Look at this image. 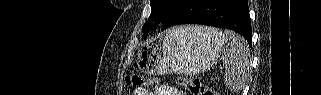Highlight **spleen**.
<instances>
[{
	"instance_id": "1",
	"label": "spleen",
	"mask_w": 321,
	"mask_h": 95,
	"mask_svg": "<svg viewBox=\"0 0 321 95\" xmlns=\"http://www.w3.org/2000/svg\"><path fill=\"white\" fill-rule=\"evenodd\" d=\"M204 32L215 33L214 28L201 27ZM224 36V35H223ZM226 41L221 59L225 64L224 81L233 91L241 90L247 81L251 65L250 49L247 42L232 31H225Z\"/></svg>"
}]
</instances>
